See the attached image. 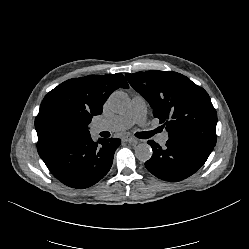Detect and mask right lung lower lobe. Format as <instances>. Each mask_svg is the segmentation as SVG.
<instances>
[{
  "mask_svg": "<svg viewBox=\"0 0 249 249\" xmlns=\"http://www.w3.org/2000/svg\"><path fill=\"white\" fill-rule=\"evenodd\" d=\"M117 138L94 142L90 135L62 142L40 157L50 172L62 183L73 188H87L102 179L110 170Z\"/></svg>",
  "mask_w": 249,
  "mask_h": 249,
  "instance_id": "right-lung-lower-lobe-1",
  "label": "right lung lower lobe"
}]
</instances>
